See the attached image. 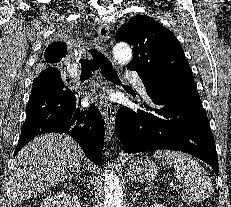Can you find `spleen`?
Masks as SVG:
<instances>
[{"label": "spleen", "mask_w": 231, "mask_h": 207, "mask_svg": "<svg viewBox=\"0 0 231 207\" xmlns=\"http://www.w3.org/2000/svg\"><path fill=\"white\" fill-rule=\"evenodd\" d=\"M153 157L168 167H174L177 179L184 185L182 200L202 202L213 192L211 179L206 175L204 168L188 154L179 151L158 150Z\"/></svg>", "instance_id": "3e777b00"}]
</instances>
